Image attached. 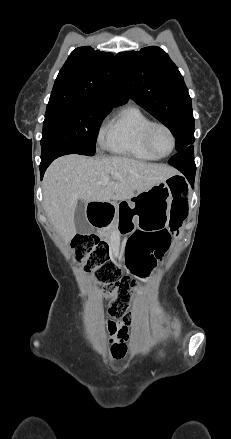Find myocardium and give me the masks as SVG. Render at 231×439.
Segmentation results:
<instances>
[{
  "mask_svg": "<svg viewBox=\"0 0 231 439\" xmlns=\"http://www.w3.org/2000/svg\"><path fill=\"white\" fill-rule=\"evenodd\" d=\"M158 127L163 128V129L169 134L170 139H171V147H170V150H169L166 154H158V153L155 151V149H154V147H153V144H152V139H151V137H152L153 130H154L155 128H158ZM144 142H145V145H146L147 149H148V150H149L154 156H156L158 159L166 158V157H168L169 155H171V154L173 153V151L175 150V148H176V143H177V141H176V135H175L174 131L172 130V128H171L168 124H166V123H164V122H161V121H152V122L147 126V128H146V130H145V132H144Z\"/></svg>",
  "mask_w": 231,
  "mask_h": 439,
  "instance_id": "myocardium-1",
  "label": "myocardium"
}]
</instances>
